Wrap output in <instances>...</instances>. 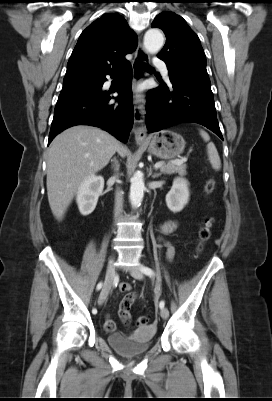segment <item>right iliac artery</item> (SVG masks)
Wrapping results in <instances>:
<instances>
[{
  "mask_svg": "<svg viewBox=\"0 0 272 401\" xmlns=\"http://www.w3.org/2000/svg\"><path fill=\"white\" fill-rule=\"evenodd\" d=\"M102 286H103V283L102 282H100V283H98V285H97V290H100L101 288H102ZM92 313L93 314H96L97 313V309L96 308H93L92 309Z\"/></svg>",
  "mask_w": 272,
  "mask_h": 401,
  "instance_id": "82829eb1",
  "label": "right iliac artery"
}]
</instances>
